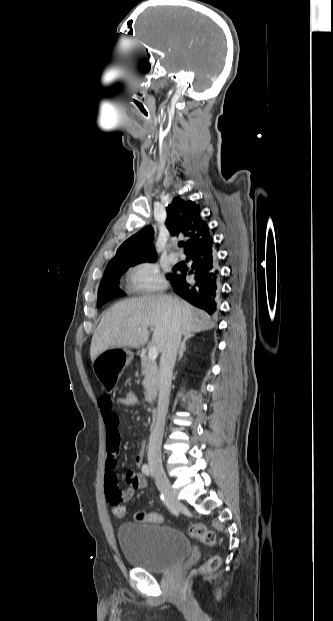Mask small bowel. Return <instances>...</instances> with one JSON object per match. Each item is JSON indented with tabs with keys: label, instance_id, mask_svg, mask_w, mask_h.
Returning <instances> with one entry per match:
<instances>
[{
	"label": "small bowel",
	"instance_id": "1",
	"mask_svg": "<svg viewBox=\"0 0 333 621\" xmlns=\"http://www.w3.org/2000/svg\"><path fill=\"white\" fill-rule=\"evenodd\" d=\"M121 404V398L118 399ZM99 409L104 421L107 435V459L105 473V491L109 504L112 509L116 506H123L132 498L135 491L146 486V480L139 472L129 469L125 475L127 487L121 489L119 487L118 476L114 473L117 465V456L120 447V421L113 408V399L110 395L104 394L98 401ZM144 458L143 444L139 452L136 454L134 462L137 467L142 465ZM143 466V465H142Z\"/></svg>",
	"mask_w": 333,
	"mask_h": 621
}]
</instances>
